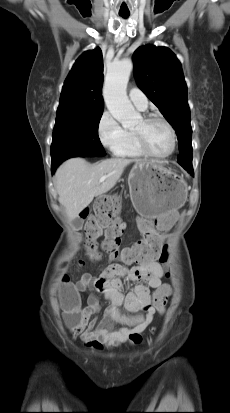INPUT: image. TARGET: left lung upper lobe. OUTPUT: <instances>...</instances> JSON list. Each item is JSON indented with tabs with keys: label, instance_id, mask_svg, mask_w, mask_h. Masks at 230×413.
I'll use <instances>...</instances> for the list:
<instances>
[{
	"label": "left lung upper lobe",
	"instance_id": "left-lung-upper-lobe-1",
	"mask_svg": "<svg viewBox=\"0 0 230 413\" xmlns=\"http://www.w3.org/2000/svg\"><path fill=\"white\" fill-rule=\"evenodd\" d=\"M139 88L159 108L178 136V163L192 166V128L182 66L167 47H139L133 54Z\"/></svg>",
	"mask_w": 230,
	"mask_h": 413
}]
</instances>
